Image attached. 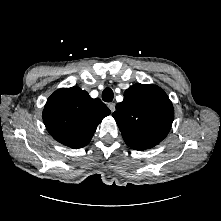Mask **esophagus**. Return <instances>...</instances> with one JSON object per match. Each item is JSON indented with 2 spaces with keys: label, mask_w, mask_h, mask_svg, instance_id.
I'll return each mask as SVG.
<instances>
[{
  "label": "esophagus",
  "mask_w": 221,
  "mask_h": 221,
  "mask_svg": "<svg viewBox=\"0 0 221 221\" xmlns=\"http://www.w3.org/2000/svg\"><path fill=\"white\" fill-rule=\"evenodd\" d=\"M108 107L111 110V112L115 111V103H108Z\"/></svg>",
  "instance_id": "obj_1"
}]
</instances>
